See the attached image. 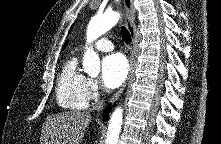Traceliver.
Listing matches in <instances>:
<instances>
[{
	"label": "liver",
	"instance_id": "obj_1",
	"mask_svg": "<svg viewBox=\"0 0 221 144\" xmlns=\"http://www.w3.org/2000/svg\"><path fill=\"white\" fill-rule=\"evenodd\" d=\"M91 122L89 113L67 111L46 117L41 131V144H81Z\"/></svg>",
	"mask_w": 221,
	"mask_h": 144
}]
</instances>
